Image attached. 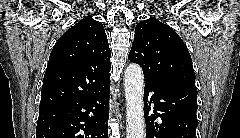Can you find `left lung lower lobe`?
<instances>
[{
	"label": "left lung lower lobe",
	"instance_id": "1",
	"mask_svg": "<svg viewBox=\"0 0 240 138\" xmlns=\"http://www.w3.org/2000/svg\"><path fill=\"white\" fill-rule=\"evenodd\" d=\"M151 103L154 105V115L149 117ZM197 109V89L194 84L145 82L146 138H196ZM158 117L161 118L160 123L155 122Z\"/></svg>",
	"mask_w": 240,
	"mask_h": 138
}]
</instances>
